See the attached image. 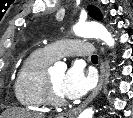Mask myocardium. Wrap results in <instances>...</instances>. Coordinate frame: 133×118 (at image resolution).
<instances>
[{
	"instance_id": "f54148a6",
	"label": "myocardium",
	"mask_w": 133,
	"mask_h": 118,
	"mask_svg": "<svg viewBox=\"0 0 133 118\" xmlns=\"http://www.w3.org/2000/svg\"><path fill=\"white\" fill-rule=\"evenodd\" d=\"M44 99L46 104L53 107H63L67 101L55 93L49 74H46L44 80Z\"/></svg>"
}]
</instances>
